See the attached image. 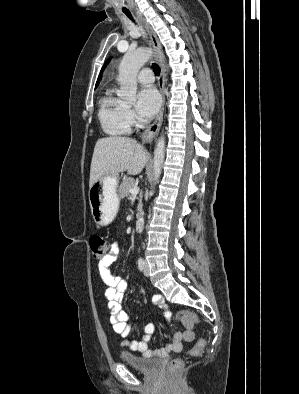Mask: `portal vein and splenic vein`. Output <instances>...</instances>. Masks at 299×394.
<instances>
[{
    "instance_id": "portal-vein-and-splenic-vein-1",
    "label": "portal vein and splenic vein",
    "mask_w": 299,
    "mask_h": 394,
    "mask_svg": "<svg viewBox=\"0 0 299 394\" xmlns=\"http://www.w3.org/2000/svg\"><path fill=\"white\" fill-rule=\"evenodd\" d=\"M139 187L138 186H135V187H133V188H131L130 189V194L132 195V196H136L138 193H139Z\"/></svg>"
}]
</instances>
